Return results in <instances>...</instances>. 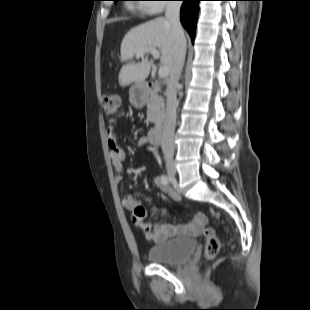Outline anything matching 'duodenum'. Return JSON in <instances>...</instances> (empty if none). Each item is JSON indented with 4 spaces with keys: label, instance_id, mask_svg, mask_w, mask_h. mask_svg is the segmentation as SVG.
Returning a JSON list of instances; mask_svg holds the SVG:
<instances>
[{
    "label": "duodenum",
    "instance_id": "410a0bca",
    "mask_svg": "<svg viewBox=\"0 0 310 310\" xmlns=\"http://www.w3.org/2000/svg\"><path fill=\"white\" fill-rule=\"evenodd\" d=\"M145 89L147 92L153 93L159 91V85L153 81H147L145 83ZM162 137V125L154 127L149 132V141L152 145L156 146L160 144Z\"/></svg>",
    "mask_w": 310,
    "mask_h": 310
}]
</instances>
